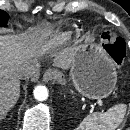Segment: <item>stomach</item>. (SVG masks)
<instances>
[{"label":"stomach","mask_w":130,"mask_h":130,"mask_svg":"<svg viewBox=\"0 0 130 130\" xmlns=\"http://www.w3.org/2000/svg\"><path fill=\"white\" fill-rule=\"evenodd\" d=\"M71 56V79L81 95L101 100L113 92L117 82L116 69L98 48L88 49L86 43L77 42Z\"/></svg>","instance_id":"stomach-1"}]
</instances>
